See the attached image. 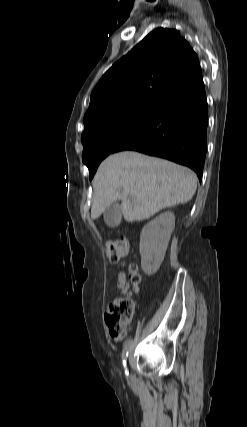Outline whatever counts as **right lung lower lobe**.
I'll return each instance as SVG.
<instances>
[{
    "label": "right lung lower lobe",
    "instance_id": "98d812e1",
    "mask_svg": "<svg viewBox=\"0 0 247 427\" xmlns=\"http://www.w3.org/2000/svg\"><path fill=\"white\" fill-rule=\"evenodd\" d=\"M207 126V100L201 76L164 99L142 128L115 152L133 150L174 161L190 167L201 181Z\"/></svg>",
    "mask_w": 247,
    "mask_h": 427
}]
</instances>
